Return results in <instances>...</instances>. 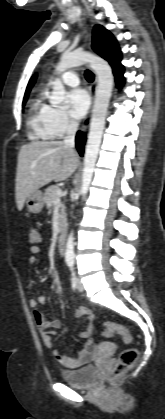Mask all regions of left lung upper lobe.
<instances>
[{"label": "left lung upper lobe", "instance_id": "1", "mask_svg": "<svg viewBox=\"0 0 165 419\" xmlns=\"http://www.w3.org/2000/svg\"><path fill=\"white\" fill-rule=\"evenodd\" d=\"M92 48L109 63L120 54L116 39H114L113 35L101 25L94 26Z\"/></svg>", "mask_w": 165, "mask_h": 419}]
</instances>
